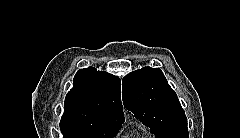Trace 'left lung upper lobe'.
Here are the masks:
<instances>
[{
    "label": "left lung upper lobe",
    "instance_id": "1",
    "mask_svg": "<svg viewBox=\"0 0 240 138\" xmlns=\"http://www.w3.org/2000/svg\"><path fill=\"white\" fill-rule=\"evenodd\" d=\"M122 97L125 107L158 138H188L185 112L160 69L145 67L126 75Z\"/></svg>",
    "mask_w": 240,
    "mask_h": 138
}]
</instances>
